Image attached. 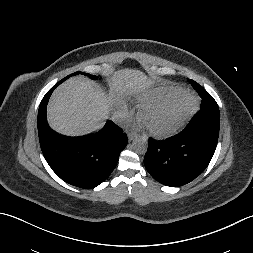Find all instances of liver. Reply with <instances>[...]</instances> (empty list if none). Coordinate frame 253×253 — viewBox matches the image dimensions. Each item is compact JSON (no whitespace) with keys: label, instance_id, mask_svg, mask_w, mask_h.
Returning <instances> with one entry per match:
<instances>
[{"label":"liver","instance_id":"obj_1","mask_svg":"<svg viewBox=\"0 0 253 253\" xmlns=\"http://www.w3.org/2000/svg\"><path fill=\"white\" fill-rule=\"evenodd\" d=\"M150 84L151 81L142 71L123 69L111 78L107 96L88 78L72 77L54 91L49 101V125L56 132L70 136L99 130L120 95L139 92Z\"/></svg>","mask_w":253,"mask_h":253}]
</instances>
